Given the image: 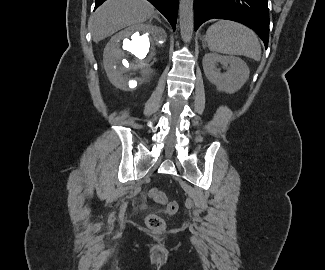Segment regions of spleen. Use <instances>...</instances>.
<instances>
[{"label":"spleen","mask_w":325,"mask_h":270,"mask_svg":"<svg viewBox=\"0 0 325 270\" xmlns=\"http://www.w3.org/2000/svg\"><path fill=\"white\" fill-rule=\"evenodd\" d=\"M205 40L211 51L228 55H243L259 61L261 45L257 35L248 27L228 20L210 26Z\"/></svg>","instance_id":"obj_1"}]
</instances>
